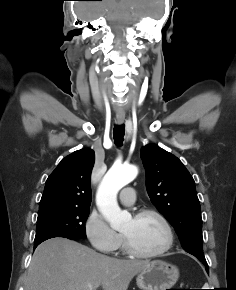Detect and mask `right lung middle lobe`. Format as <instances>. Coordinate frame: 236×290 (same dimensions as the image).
I'll use <instances>...</instances> for the list:
<instances>
[{
  "mask_svg": "<svg viewBox=\"0 0 236 290\" xmlns=\"http://www.w3.org/2000/svg\"><path fill=\"white\" fill-rule=\"evenodd\" d=\"M89 208L53 206L39 209L34 243L53 237L86 238L85 222Z\"/></svg>",
  "mask_w": 236,
  "mask_h": 290,
  "instance_id": "obj_1",
  "label": "right lung middle lobe"
}]
</instances>
